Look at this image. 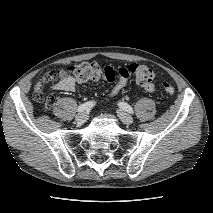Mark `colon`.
Masks as SVG:
<instances>
[{
	"instance_id": "5ec220e1",
	"label": "colon",
	"mask_w": 213,
	"mask_h": 213,
	"mask_svg": "<svg viewBox=\"0 0 213 213\" xmlns=\"http://www.w3.org/2000/svg\"><path fill=\"white\" fill-rule=\"evenodd\" d=\"M69 73L79 82H90L105 80L115 82L113 95L118 94L121 87L127 80H132L139 86L148 88L153 86L156 79V71L147 65L131 63L124 66L114 67L106 63L82 62L69 68ZM57 72L44 75L35 85L33 97L35 101L41 103L45 109H49L53 104V98L45 94V86L57 77ZM163 89L168 94H174L175 88L168 83H163Z\"/></svg>"
}]
</instances>
